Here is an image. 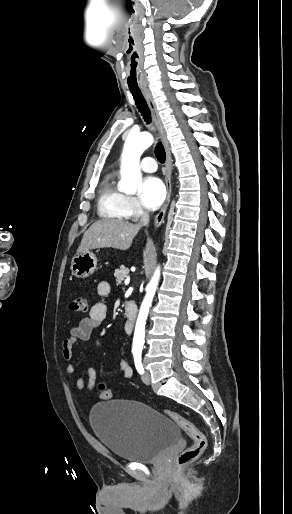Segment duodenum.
<instances>
[{"label": "duodenum", "instance_id": "410a0bca", "mask_svg": "<svg viewBox=\"0 0 292 514\" xmlns=\"http://www.w3.org/2000/svg\"><path fill=\"white\" fill-rule=\"evenodd\" d=\"M125 312L127 314V321L125 324V331L130 333L133 329L134 322L137 316V305L134 301H127L124 306Z\"/></svg>", "mask_w": 292, "mask_h": 514}]
</instances>
